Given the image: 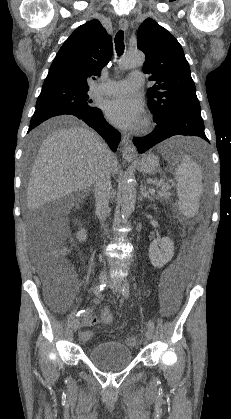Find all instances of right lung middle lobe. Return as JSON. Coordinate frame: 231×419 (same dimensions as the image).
I'll return each mask as SVG.
<instances>
[{"label": "right lung middle lobe", "mask_w": 231, "mask_h": 419, "mask_svg": "<svg viewBox=\"0 0 231 419\" xmlns=\"http://www.w3.org/2000/svg\"><path fill=\"white\" fill-rule=\"evenodd\" d=\"M88 90L59 84L44 86L37 99L36 109L47 108L82 114L92 113L98 108L91 104L92 101L87 95Z\"/></svg>", "instance_id": "dd1d6c3e"}]
</instances>
